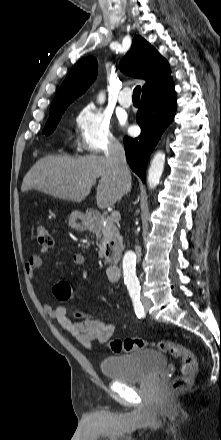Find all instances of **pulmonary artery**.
Returning a JSON list of instances; mask_svg holds the SVG:
<instances>
[{"mask_svg": "<svg viewBox=\"0 0 221 440\" xmlns=\"http://www.w3.org/2000/svg\"><path fill=\"white\" fill-rule=\"evenodd\" d=\"M119 104L122 107L128 108L132 105V91L129 87H124L118 98Z\"/></svg>", "mask_w": 221, "mask_h": 440, "instance_id": "1", "label": "pulmonary artery"}]
</instances>
